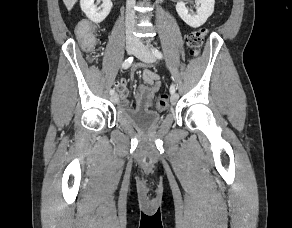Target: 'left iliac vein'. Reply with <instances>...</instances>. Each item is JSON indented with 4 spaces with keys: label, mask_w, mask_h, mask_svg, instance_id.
I'll return each mask as SVG.
<instances>
[{
    "label": "left iliac vein",
    "mask_w": 292,
    "mask_h": 228,
    "mask_svg": "<svg viewBox=\"0 0 292 228\" xmlns=\"http://www.w3.org/2000/svg\"><path fill=\"white\" fill-rule=\"evenodd\" d=\"M135 55L138 59L145 63H153L156 61V58L153 53H151L147 47L141 42L138 41ZM179 96L177 94H172L170 97L171 103L174 105L177 103Z\"/></svg>",
    "instance_id": "obj_1"
}]
</instances>
